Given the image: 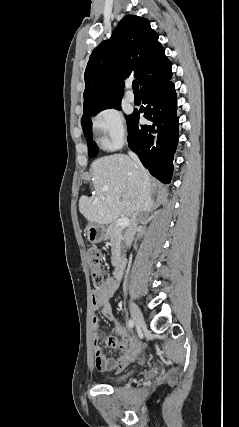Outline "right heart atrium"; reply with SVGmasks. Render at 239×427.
I'll list each match as a JSON object with an SVG mask.
<instances>
[{"instance_id": "1", "label": "right heart atrium", "mask_w": 239, "mask_h": 427, "mask_svg": "<svg viewBox=\"0 0 239 427\" xmlns=\"http://www.w3.org/2000/svg\"><path fill=\"white\" fill-rule=\"evenodd\" d=\"M93 124L103 148L113 151L125 144L127 129L121 112L116 108L110 107L99 112Z\"/></svg>"}]
</instances>
